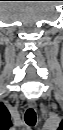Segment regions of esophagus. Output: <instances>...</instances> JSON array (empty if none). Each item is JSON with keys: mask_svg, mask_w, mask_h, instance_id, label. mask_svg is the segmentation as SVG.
Listing matches in <instances>:
<instances>
[{"mask_svg": "<svg viewBox=\"0 0 63 130\" xmlns=\"http://www.w3.org/2000/svg\"><path fill=\"white\" fill-rule=\"evenodd\" d=\"M28 106H29L30 108L35 109V108H36V106H37V104H36V102H35V101L30 100V101H28Z\"/></svg>", "mask_w": 63, "mask_h": 130, "instance_id": "esophagus-1", "label": "esophagus"}]
</instances>
